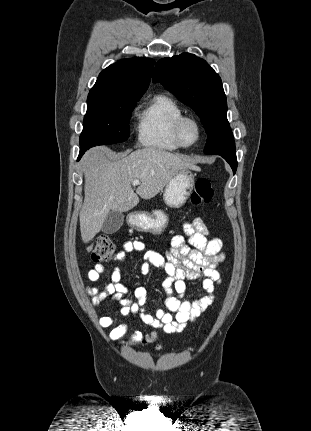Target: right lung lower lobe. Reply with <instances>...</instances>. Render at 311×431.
Instances as JSON below:
<instances>
[{
	"mask_svg": "<svg viewBox=\"0 0 311 431\" xmlns=\"http://www.w3.org/2000/svg\"><path fill=\"white\" fill-rule=\"evenodd\" d=\"M84 153H85V150H81V149H80V154H79L78 159H80V158H81V156H82Z\"/></svg>",
	"mask_w": 311,
	"mask_h": 431,
	"instance_id": "obj_1",
	"label": "right lung lower lobe"
}]
</instances>
